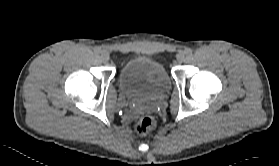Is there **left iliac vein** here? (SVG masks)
Returning <instances> with one entry per match:
<instances>
[{
    "instance_id": "4c4485c4",
    "label": "left iliac vein",
    "mask_w": 279,
    "mask_h": 166,
    "mask_svg": "<svg viewBox=\"0 0 279 166\" xmlns=\"http://www.w3.org/2000/svg\"><path fill=\"white\" fill-rule=\"evenodd\" d=\"M185 59V53L184 52H179L177 55V60L178 62H182Z\"/></svg>"
}]
</instances>
